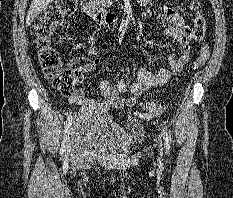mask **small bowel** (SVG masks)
I'll return each instance as SVG.
<instances>
[{"label":"small bowel","mask_w":233,"mask_h":198,"mask_svg":"<svg viewBox=\"0 0 233 198\" xmlns=\"http://www.w3.org/2000/svg\"><path fill=\"white\" fill-rule=\"evenodd\" d=\"M138 3L145 7L149 0H137ZM143 17L146 14L143 13ZM162 17L168 26L164 34L177 42L181 46V52L178 57L173 54L167 55L168 68L161 69L157 72H151L146 69H140L136 74V80L130 85L119 79L114 84L108 80L100 83V92L103 101H97L86 97L81 89L75 90L72 94L67 95L70 103L80 106L84 110H95L103 113L109 107H132L143 93L151 88H158L166 84L173 75L181 72L184 65L188 62L189 57V41L193 38L192 28L186 24L183 17L172 7L164 6L162 8ZM88 52L93 59L80 66L81 74H89L99 64L100 59L95 56L94 40L89 37L87 40ZM128 94L127 97H124Z\"/></svg>","instance_id":"1"}]
</instances>
